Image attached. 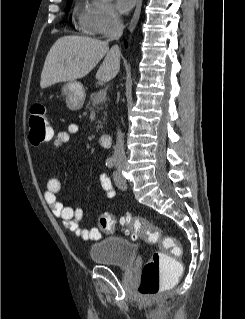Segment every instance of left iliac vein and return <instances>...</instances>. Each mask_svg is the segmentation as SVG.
I'll return each instance as SVG.
<instances>
[{
    "label": "left iliac vein",
    "mask_w": 245,
    "mask_h": 319,
    "mask_svg": "<svg viewBox=\"0 0 245 319\" xmlns=\"http://www.w3.org/2000/svg\"><path fill=\"white\" fill-rule=\"evenodd\" d=\"M123 165L117 166V180L115 181L116 185L121 188L125 189L127 187L126 180L122 175Z\"/></svg>",
    "instance_id": "1"
}]
</instances>
